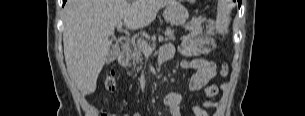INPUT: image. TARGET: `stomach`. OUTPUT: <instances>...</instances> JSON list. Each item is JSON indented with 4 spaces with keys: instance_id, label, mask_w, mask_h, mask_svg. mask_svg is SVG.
<instances>
[{
    "instance_id": "obj_1",
    "label": "stomach",
    "mask_w": 305,
    "mask_h": 116,
    "mask_svg": "<svg viewBox=\"0 0 305 116\" xmlns=\"http://www.w3.org/2000/svg\"><path fill=\"white\" fill-rule=\"evenodd\" d=\"M163 15L166 21L176 26L184 25L189 17L188 10L179 1L168 4Z\"/></svg>"
}]
</instances>
